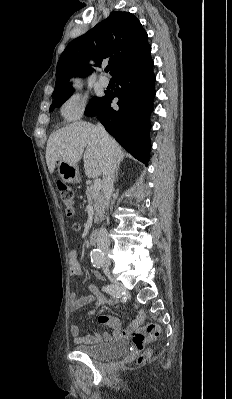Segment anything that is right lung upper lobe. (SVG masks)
Wrapping results in <instances>:
<instances>
[{"instance_id":"1","label":"right lung upper lobe","mask_w":232,"mask_h":399,"mask_svg":"<svg viewBox=\"0 0 232 399\" xmlns=\"http://www.w3.org/2000/svg\"><path fill=\"white\" fill-rule=\"evenodd\" d=\"M147 38L146 31L133 14L120 11L110 13L107 19L67 45L57 64L52 96L72 91L69 83L71 77L91 73L89 59H93L96 66L109 60L113 75L121 66L149 54L151 47Z\"/></svg>"}]
</instances>
